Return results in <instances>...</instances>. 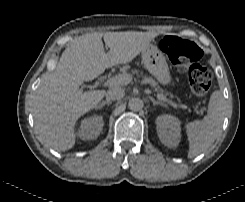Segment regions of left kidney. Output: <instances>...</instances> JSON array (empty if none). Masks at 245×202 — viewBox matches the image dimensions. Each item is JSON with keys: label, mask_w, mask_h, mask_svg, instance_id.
Masks as SVG:
<instances>
[{"label": "left kidney", "mask_w": 245, "mask_h": 202, "mask_svg": "<svg viewBox=\"0 0 245 202\" xmlns=\"http://www.w3.org/2000/svg\"><path fill=\"white\" fill-rule=\"evenodd\" d=\"M156 129L160 141L168 148L177 147L181 139V127L178 118L164 114L156 119Z\"/></svg>", "instance_id": "left-kidney-1"}]
</instances>
